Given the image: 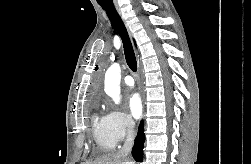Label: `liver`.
I'll return each instance as SVG.
<instances>
[{"mask_svg": "<svg viewBox=\"0 0 251 164\" xmlns=\"http://www.w3.org/2000/svg\"><path fill=\"white\" fill-rule=\"evenodd\" d=\"M85 164H134V163L127 161L126 158L121 156L119 153H109L98 157L93 162Z\"/></svg>", "mask_w": 251, "mask_h": 164, "instance_id": "obj_1", "label": "liver"}]
</instances>
